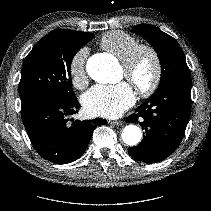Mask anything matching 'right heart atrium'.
<instances>
[{"label":"right heart atrium","mask_w":211,"mask_h":211,"mask_svg":"<svg viewBox=\"0 0 211 211\" xmlns=\"http://www.w3.org/2000/svg\"><path fill=\"white\" fill-rule=\"evenodd\" d=\"M89 49L83 46L76 50L69 61V74L74 87L81 89L88 83V74L86 70Z\"/></svg>","instance_id":"right-heart-atrium-1"}]
</instances>
